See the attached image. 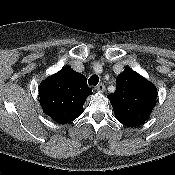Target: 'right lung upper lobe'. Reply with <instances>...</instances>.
<instances>
[{"instance_id":"1","label":"right lung upper lobe","mask_w":175,"mask_h":175,"mask_svg":"<svg viewBox=\"0 0 175 175\" xmlns=\"http://www.w3.org/2000/svg\"><path fill=\"white\" fill-rule=\"evenodd\" d=\"M92 94L86 77L70 67L49 76L39 87L44 113L58 123H68L82 114L83 104Z\"/></svg>"}]
</instances>
